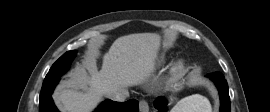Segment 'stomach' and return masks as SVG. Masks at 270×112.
<instances>
[{
    "label": "stomach",
    "mask_w": 270,
    "mask_h": 112,
    "mask_svg": "<svg viewBox=\"0 0 270 112\" xmlns=\"http://www.w3.org/2000/svg\"><path fill=\"white\" fill-rule=\"evenodd\" d=\"M183 88V83L179 82V81H173V83L171 84V91L172 93H177L178 91H180ZM175 100V97H173V95L171 96V101L173 102Z\"/></svg>",
    "instance_id": "0dacf381"
}]
</instances>
